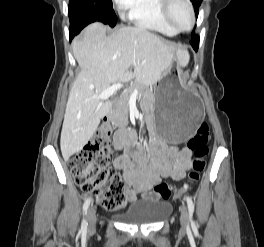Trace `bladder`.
<instances>
[{
  "instance_id": "obj_1",
  "label": "bladder",
  "mask_w": 264,
  "mask_h": 247,
  "mask_svg": "<svg viewBox=\"0 0 264 247\" xmlns=\"http://www.w3.org/2000/svg\"><path fill=\"white\" fill-rule=\"evenodd\" d=\"M171 204L162 199H148L132 204L126 211L119 214L122 222L133 224H151L166 218Z\"/></svg>"
}]
</instances>
